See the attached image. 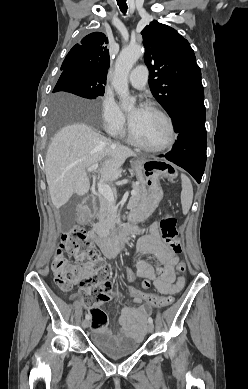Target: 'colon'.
Here are the masks:
<instances>
[{
    "label": "colon",
    "mask_w": 248,
    "mask_h": 389,
    "mask_svg": "<svg viewBox=\"0 0 248 389\" xmlns=\"http://www.w3.org/2000/svg\"><path fill=\"white\" fill-rule=\"evenodd\" d=\"M160 230L165 243L179 252L181 245L177 240V220L173 216H167L161 221ZM64 253L85 261L86 268L82 270L70 263L64 257ZM176 270L178 273H184L185 263L180 262L176 266ZM52 271L55 284L60 288L68 289L77 282L81 283L82 292L87 296L88 301L90 303L97 302L96 305L89 306L92 328L95 330L105 329L108 324V315L100 309V301L105 302L111 298V292L107 285L110 270L103 263L98 250L86 239L82 231L74 229L62 235ZM126 272L125 279L129 298H141L148 307H156L157 310H165L168 304L173 302L174 299L170 295L155 294L154 291H145L143 288L131 285L135 279L134 268L128 267ZM149 284L148 281L145 282V286H149Z\"/></svg>",
    "instance_id": "colon-1"
}]
</instances>
